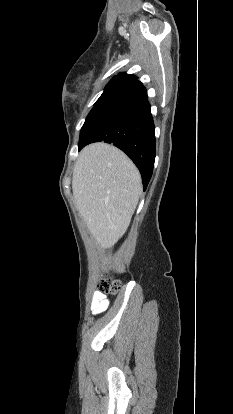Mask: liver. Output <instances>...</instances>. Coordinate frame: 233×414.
Instances as JSON below:
<instances>
[{
	"mask_svg": "<svg viewBox=\"0 0 233 414\" xmlns=\"http://www.w3.org/2000/svg\"><path fill=\"white\" fill-rule=\"evenodd\" d=\"M72 190L88 230L99 245L106 247L129 226L142 182L138 169L121 150L101 142L80 152Z\"/></svg>",
	"mask_w": 233,
	"mask_h": 414,
	"instance_id": "liver-1",
	"label": "liver"
}]
</instances>
